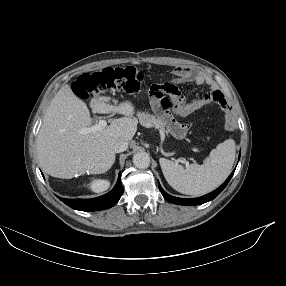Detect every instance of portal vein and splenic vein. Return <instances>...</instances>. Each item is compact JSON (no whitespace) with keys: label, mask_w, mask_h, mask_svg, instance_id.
<instances>
[{"label":"portal vein and splenic vein","mask_w":286,"mask_h":286,"mask_svg":"<svg viewBox=\"0 0 286 286\" xmlns=\"http://www.w3.org/2000/svg\"><path fill=\"white\" fill-rule=\"evenodd\" d=\"M107 126V121L106 120H99L98 124L88 127V128H84L82 130L83 134H88V133H96L98 131H101L103 128H105Z\"/></svg>","instance_id":"portal-vein-and-splenic-vein-1"}]
</instances>
